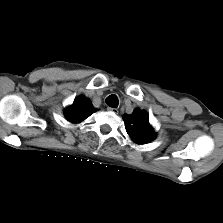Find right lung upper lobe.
I'll return each instance as SVG.
<instances>
[{
    "instance_id": "1",
    "label": "right lung upper lobe",
    "mask_w": 223,
    "mask_h": 223,
    "mask_svg": "<svg viewBox=\"0 0 223 223\" xmlns=\"http://www.w3.org/2000/svg\"><path fill=\"white\" fill-rule=\"evenodd\" d=\"M95 111L91 102L84 96H80L65 110V116L67 120L76 123L83 121Z\"/></svg>"
}]
</instances>
